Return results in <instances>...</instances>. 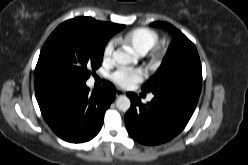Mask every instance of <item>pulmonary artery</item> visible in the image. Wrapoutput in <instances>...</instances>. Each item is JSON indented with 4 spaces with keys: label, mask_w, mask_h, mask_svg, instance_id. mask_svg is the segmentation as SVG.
<instances>
[{
    "label": "pulmonary artery",
    "mask_w": 248,
    "mask_h": 165,
    "mask_svg": "<svg viewBox=\"0 0 248 165\" xmlns=\"http://www.w3.org/2000/svg\"><path fill=\"white\" fill-rule=\"evenodd\" d=\"M152 98H153V96H149V98H148V99H149V100H151Z\"/></svg>",
    "instance_id": "obj_1"
}]
</instances>
